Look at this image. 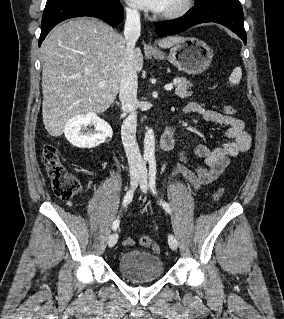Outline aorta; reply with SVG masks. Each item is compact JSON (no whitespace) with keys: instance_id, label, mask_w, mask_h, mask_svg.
<instances>
[{"instance_id":"aorta-1","label":"aorta","mask_w":284,"mask_h":319,"mask_svg":"<svg viewBox=\"0 0 284 319\" xmlns=\"http://www.w3.org/2000/svg\"><path fill=\"white\" fill-rule=\"evenodd\" d=\"M155 158V136L153 129H147L144 138V159L153 160Z\"/></svg>"}]
</instances>
